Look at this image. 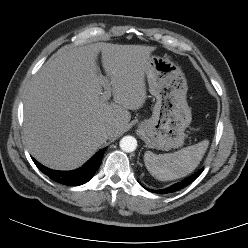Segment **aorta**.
Listing matches in <instances>:
<instances>
[{"instance_id": "762f6f07", "label": "aorta", "mask_w": 248, "mask_h": 248, "mask_svg": "<svg viewBox=\"0 0 248 248\" xmlns=\"http://www.w3.org/2000/svg\"><path fill=\"white\" fill-rule=\"evenodd\" d=\"M120 148L124 152H133L137 148V140L132 136H124L120 140Z\"/></svg>"}]
</instances>
